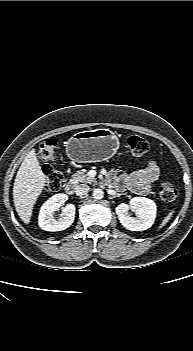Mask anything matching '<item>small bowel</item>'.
Returning <instances> with one entry per match:
<instances>
[{"instance_id":"c3829d8e","label":"small bowel","mask_w":193,"mask_h":351,"mask_svg":"<svg viewBox=\"0 0 193 351\" xmlns=\"http://www.w3.org/2000/svg\"><path fill=\"white\" fill-rule=\"evenodd\" d=\"M159 175V166L155 161L150 160L146 167L131 174L113 175L112 183L119 188L144 195L149 192L151 185L158 179Z\"/></svg>"}]
</instances>
